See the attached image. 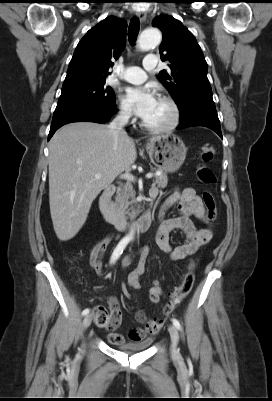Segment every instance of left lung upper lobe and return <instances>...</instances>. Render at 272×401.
Masks as SVG:
<instances>
[{"mask_svg": "<svg viewBox=\"0 0 272 401\" xmlns=\"http://www.w3.org/2000/svg\"><path fill=\"white\" fill-rule=\"evenodd\" d=\"M152 25L163 33L159 52L161 60L169 62L170 67V72H159L158 78L180 112L196 104H214L207 78L208 66L193 34L168 15L155 17Z\"/></svg>", "mask_w": 272, "mask_h": 401, "instance_id": "5c2ea615", "label": "left lung upper lobe"}]
</instances>
